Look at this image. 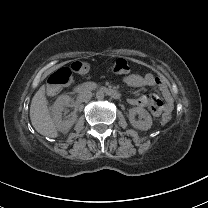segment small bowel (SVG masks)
<instances>
[{"mask_svg":"<svg viewBox=\"0 0 208 208\" xmlns=\"http://www.w3.org/2000/svg\"><path fill=\"white\" fill-rule=\"evenodd\" d=\"M124 83L130 87L157 86L162 96L160 100L140 96L131 99V104L147 107L154 116H158L162 112H170L172 110L173 99L168 89L167 82L163 78L155 77L151 74H130L124 77Z\"/></svg>","mask_w":208,"mask_h":208,"instance_id":"obj_1","label":"small bowel"}]
</instances>
